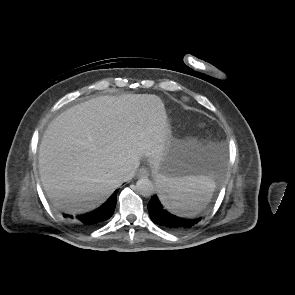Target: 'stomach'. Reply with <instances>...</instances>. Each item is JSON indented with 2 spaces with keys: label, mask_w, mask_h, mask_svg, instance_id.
Here are the masks:
<instances>
[{
  "label": "stomach",
  "mask_w": 295,
  "mask_h": 295,
  "mask_svg": "<svg viewBox=\"0 0 295 295\" xmlns=\"http://www.w3.org/2000/svg\"><path fill=\"white\" fill-rule=\"evenodd\" d=\"M210 148L198 141L171 143L158 165L152 168L157 176L180 178L186 176L208 175L210 168Z\"/></svg>",
  "instance_id": "0dacf381"
}]
</instances>
